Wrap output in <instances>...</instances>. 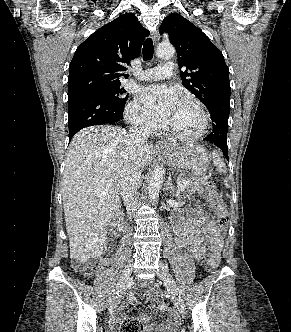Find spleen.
I'll return each instance as SVG.
<instances>
[{
	"mask_svg": "<svg viewBox=\"0 0 291 332\" xmlns=\"http://www.w3.org/2000/svg\"><path fill=\"white\" fill-rule=\"evenodd\" d=\"M212 155H213L214 165L216 166V170L220 173H226L227 172L226 164L220 158L219 154L217 152H213Z\"/></svg>",
	"mask_w": 291,
	"mask_h": 332,
	"instance_id": "spleen-1",
	"label": "spleen"
}]
</instances>
